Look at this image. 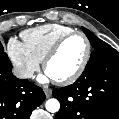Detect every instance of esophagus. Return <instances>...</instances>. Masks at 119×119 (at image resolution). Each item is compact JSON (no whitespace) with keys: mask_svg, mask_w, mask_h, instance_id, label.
<instances>
[{"mask_svg":"<svg viewBox=\"0 0 119 119\" xmlns=\"http://www.w3.org/2000/svg\"><path fill=\"white\" fill-rule=\"evenodd\" d=\"M44 93H45L46 97L49 98L52 95V90L49 88H45Z\"/></svg>","mask_w":119,"mask_h":119,"instance_id":"obj_1","label":"esophagus"}]
</instances>
